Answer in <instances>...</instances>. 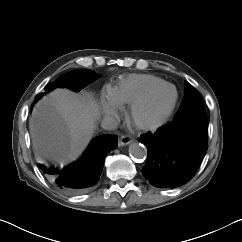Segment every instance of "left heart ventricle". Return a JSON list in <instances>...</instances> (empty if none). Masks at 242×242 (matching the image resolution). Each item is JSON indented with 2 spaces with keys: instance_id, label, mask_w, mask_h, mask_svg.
<instances>
[{
  "instance_id": "b2bd125f",
  "label": "left heart ventricle",
  "mask_w": 242,
  "mask_h": 242,
  "mask_svg": "<svg viewBox=\"0 0 242 242\" xmlns=\"http://www.w3.org/2000/svg\"><path fill=\"white\" fill-rule=\"evenodd\" d=\"M175 93L170 87L158 92L147 104L137 113L138 121L145 124H153L163 118L171 106Z\"/></svg>"
}]
</instances>
